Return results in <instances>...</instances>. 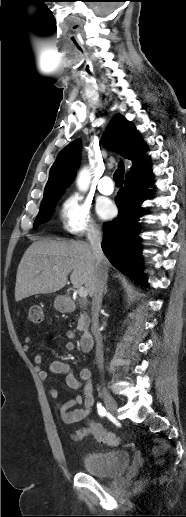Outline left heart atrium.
<instances>
[{
    "instance_id": "1",
    "label": "left heart atrium",
    "mask_w": 186,
    "mask_h": 517,
    "mask_svg": "<svg viewBox=\"0 0 186 517\" xmlns=\"http://www.w3.org/2000/svg\"><path fill=\"white\" fill-rule=\"evenodd\" d=\"M97 212L103 219H109L115 214V207L110 200H101L97 204Z\"/></svg>"
}]
</instances>
